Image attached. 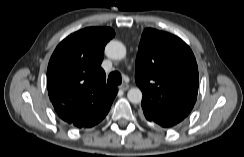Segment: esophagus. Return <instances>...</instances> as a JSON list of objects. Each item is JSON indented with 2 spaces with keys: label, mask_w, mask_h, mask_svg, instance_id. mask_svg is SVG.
Masks as SVG:
<instances>
[{
  "label": "esophagus",
  "mask_w": 244,
  "mask_h": 157,
  "mask_svg": "<svg viewBox=\"0 0 244 157\" xmlns=\"http://www.w3.org/2000/svg\"><path fill=\"white\" fill-rule=\"evenodd\" d=\"M119 89L120 90H123V91H126V90L129 89V85L124 83V84H122V85L119 86Z\"/></svg>",
  "instance_id": "obj_1"
}]
</instances>
